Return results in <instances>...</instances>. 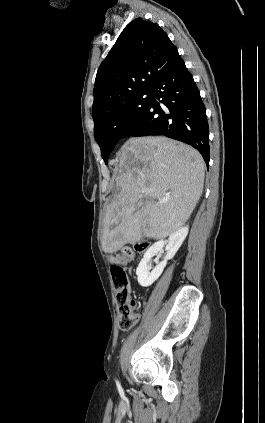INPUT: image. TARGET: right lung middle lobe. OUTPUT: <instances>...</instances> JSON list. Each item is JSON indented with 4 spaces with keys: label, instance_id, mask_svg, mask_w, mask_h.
<instances>
[{
    "label": "right lung middle lobe",
    "instance_id": "1",
    "mask_svg": "<svg viewBox=\"0 0 265 423\" xmlns=\"http://www.w3.org/2000/svg\"><path fill=\"white\" fill-rule=\"evenodd\" d=\"M151 99L150 90L136 93L115 104L94 121V136L106 164L118 140L148 108Z\"/></svg>",
    "mask_w": 265,
    "mask_h": 423
}]
</instances>
